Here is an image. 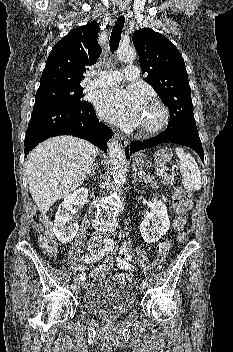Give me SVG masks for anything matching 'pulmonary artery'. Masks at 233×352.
Returning a JSON list of instances; mask_svg holds the SVG:
<instances>
[{"instance_id": "e3ab8cb5", "label": "pulmonary artery", "mask_w": 233, "mask_h": 352, "mask_svg": "<svg viewBox=\"0 0 233 352\" xmlns=\"http://www.w3.org/2000/svg\"><path fill=\"white\" fill-rule=\"evenodd\" d=\"M98 78L88 83V88H98L102 86L115 84L122 79L130 81L136 80L139 76L138 68L134 65H128L124 68L123 72L114 71H102L98 74Z\"/></svg>"}]
</instances>
